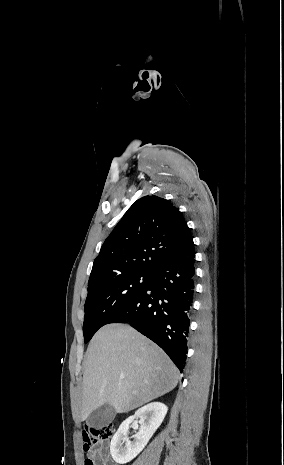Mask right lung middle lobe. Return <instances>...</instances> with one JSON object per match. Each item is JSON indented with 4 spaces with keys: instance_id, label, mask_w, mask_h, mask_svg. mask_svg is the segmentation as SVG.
Returning a JSON list of instances; mask_svg holds the SVG:
<instances>
[{
    "instance_id": "right-lung-middle-lobe-1",
    "label": "right lung middle lobe",
    "mask_w": 284,
    "mask_h": 465,
    "mask_svg": "<svg viewBox=\"0 0 284 465\" xmlns=\"http://www.w3.org/2000/svg\"><path fill=\"white\" fill-rule=\"evenodd\" d=\"M150 274H127L100 282L88 288L83 324L84 342L129 305L145 288Z\"/></svg>"
}]
</instances>
